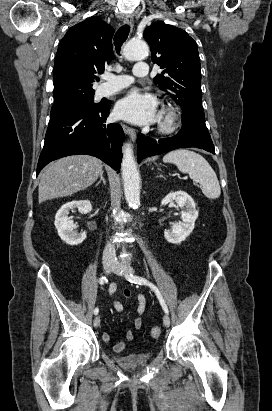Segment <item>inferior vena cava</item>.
<instances>
[{"label": "inferior vena cava", "instance_id": "obj_1", "mask_svg": "<svg viewBox=\"0 0 272 411\" xmlns=\"http://www.w3.org/2000/svg\"><path fill=\"white\" fill-rule=\"evenodd\" d=\"M115 258V247L111 242H108L103 251V261L113 262Z\"/></svg>", "mask_w": 272, "mask_h": 411}]
</instances>
